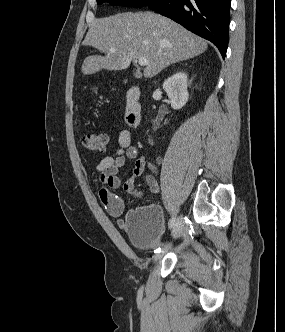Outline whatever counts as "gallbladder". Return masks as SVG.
<instances>
[{"mask_svg": "<svg viewBox=\"0 0 285 332\" xmlns=\"http://www.w3.org/2000/svg\"><path fill=\"white\" fill-rule=\"evenodd\" d=\"M134 75H135L136 78H139L141 76V74L138 73V72L134 73Z\"/></svg>", "mask_w": 285, "mask_h": 332, "instance_id": "1", "label": "gallbladder"}]
</instances>
